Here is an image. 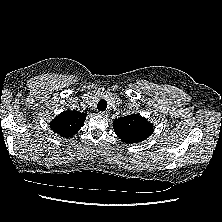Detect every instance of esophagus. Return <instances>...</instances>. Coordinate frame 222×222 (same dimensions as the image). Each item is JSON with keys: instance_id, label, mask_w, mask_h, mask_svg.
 Here are the masks:
<instances>
[{"instance_id": "obj_1", "label": "esophagus", "mask_w": 222, "mask_h": 222, "mask_svg": "<svg viewBox=\"0 0 222 222\" xmlns=\"http://www.w3.org/2000/svg\"><path fill=\"white\" fill-rule=\"evenodd\" d=\"M98 114L102 117H107L108 116V113L106 111H100V112H98Z\"/></svg>"}]
</instances>
